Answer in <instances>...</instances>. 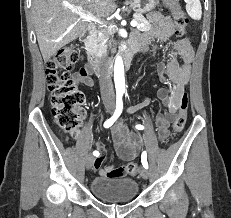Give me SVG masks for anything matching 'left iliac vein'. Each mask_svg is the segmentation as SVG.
Wrapping results in <instances>:
<instances>
[{"instance_id":"1","label":"left iliac vein","mask_w":231,"mask_h":218,"mask_svg":"<svg viewBox=\"0 0 231 218\" xmlns=\"http://www.w3.org/2000/svg\"><path fill=\"white\" fill-rule=\"evenodd\" d=\"M141 176L144 179H148V177H149V171L146 168H142L141 169Z\"/></svg>"}]
</instances>
